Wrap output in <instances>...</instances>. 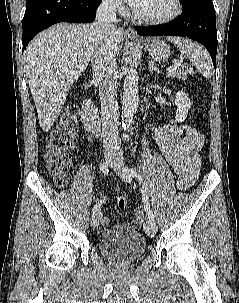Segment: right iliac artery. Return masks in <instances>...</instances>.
I'll return each instance as SVG.
<instances>
[{
    "label": "right iliac artery",
    "instance_id": "82829eb1",
    "mask_svg": "<svg viewBox=\"0 0 239 303\" xmlns=\"http://www.w3.org/2000/svg\"><path fill=\"white\" fill-rule=\"evenodd\" d=\"M100 169H101V171H102L104 174H109V173H108V172H109L108 166H107V164H106L105 162L101 163ZM107 176H109V175H107ZM109 180H110V179H109ZM112 182H113V181H112ZM104 201H105V198H104L103 200H101L99 203H97V204L93 207V209H92V213H93V214H95L97 211L100 210V207H101V205H102V203H103Z\"/></svg>",
    "mask_w": 239,
    "mask_h": 303
}]
</instances>
